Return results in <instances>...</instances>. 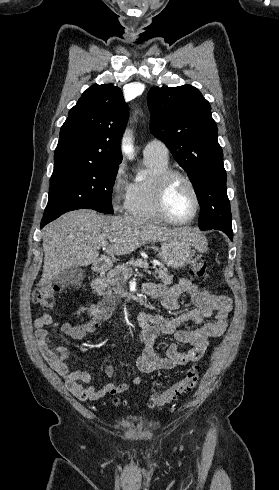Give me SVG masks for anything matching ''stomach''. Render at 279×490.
Here are the masks:
<instances>
[{"label": "stomach", "mask_w": 279, "mask_h": 490, "mask_svg": "<svg viewBox=\"0 0 279 490\" xmlns=\"http://www.w3.org/2000/svg\"><path fill=\"white\" fill-rule=\"evenodd\" d=\"M195 252L191 250L190 242L183 240L181 236H174L168 242H162V248L158 254L162 262L172 268V270H181L193 260Z\"/></svg>", "instance_id": "0dacf381"}]
</instances>
